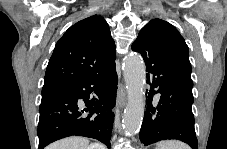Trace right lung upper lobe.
<instances>
[{
  "label": "right lung upper lobe",
  "instance_id": "cb5924a9",
  "mask_svg": "<svg viewBox=\"0 0 227 149\" xmlns=\"http://www.w3.org/2000/svg\"><path fill=\"white\" fill-rule=\"evenodd\" d=\"M116 58L107 22L98 15L71 26L49 60L43 89L60 88L103 68Z\"/></svg>",
  "mask_w": 227,
  "mask_h": 149
}]
</instances>
